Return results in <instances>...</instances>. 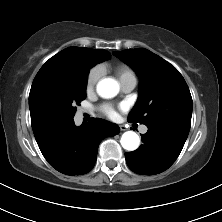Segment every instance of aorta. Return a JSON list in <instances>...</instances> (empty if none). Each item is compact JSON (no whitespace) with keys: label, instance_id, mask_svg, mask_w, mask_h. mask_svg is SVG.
Here are the masks:
<instances>
[{"label":"aorta","instance_id":"obj_1","mask_svg":"<svg viewBox=\"0 0 222 222\" xmlns=\"http://www.w3.org/2000/svg\"><path fill=\"white\" fill-rule=\"evenodd\" d=\"M96 90L102 98H113L119 92V85L117 81L105 78L98 82ZM120 143L124 149L134 151L139 147L140 139L134 131H127L123 133Z\"/></svg>","mask_w":222,"mask_h":222}]
</instances>
